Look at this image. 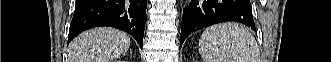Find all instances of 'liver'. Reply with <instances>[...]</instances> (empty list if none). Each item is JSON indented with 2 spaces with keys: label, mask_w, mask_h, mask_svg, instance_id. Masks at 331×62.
Here are the masks:
<instances>
[{
  "label": "liver",
  "mask_w": 331,
  "mask_h": 62,
  "mask_svg": "<svg viewBox=\"0 0 331 62\" xmlns=\"http://www.w3.org/2000/svg\"><path fill=\"white\" fill-rule=\"evenodd\" d=\"M130 47L128 34L109 27L83 32L69 45V62H111Z\"/></svg>",
  "instance_id": "6515ba94"
}]
</instances>
